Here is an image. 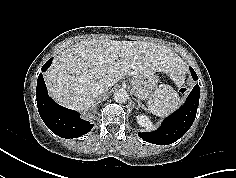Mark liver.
I'll list each match as a JSON object with an SVG mask.
<instances>
[{
    "label": "liver",
    "mask_w": 236,
    "mask_h": 178,
    "mask_svg": "<svg viewBox=\"0 0 236 178\" xmlns=\"http://www.w3.org/2000/svg\"><path fill=\"white\" fill-rule=\"evenodd\" d=\"M171 49L142 41L85 40L63 50L44 76L49 94L62 106L87 111L97 97V83L114 86L126 75L135 78L183 72Z\"/></svg>",
    "instance_id": "1"
}]
</instances>
